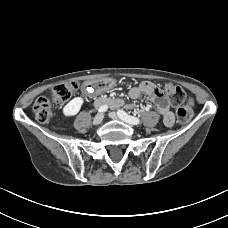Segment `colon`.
Here are the masks:
<instances>
[{
  "mask_svg": "<svg viewBox=\"0 0 228 228\" xmlns=\"http://www.w3.org/2000/svg\"><path fill=\"white\" fill-rule=\"evenodd\" d=\"M78 89L76 81H64L55 85L52 89V99L55 103L67 102ZM165 91L171 103L178 107L177 117L180 122H188L193 117V99L180 87L169 83L165 86ZM33 112L37 121L46 123L53 114V107L46 97H38L33 104Z\"/></svg>",
  "mask_w": 228,
  "mask_h": 228,
  "instance_id": "obj_1",
  "label": "colon"
}]
</instances>
